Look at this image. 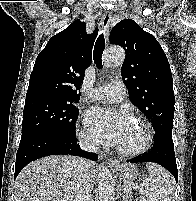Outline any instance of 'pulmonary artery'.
<instances>
[{
    "instance_id": "e3ab8cb5",
    "label": "pulmonary artery",
    "mask_w": 196,
    "mask_h": 201,
    "mask_svg": "<svg viewBox=\"0 0 196 201\" xmlns=\"http://www.w3.org/2000/svg\"><path fill=\"white\" fill-rule=\"evenodd\" d=\"M125 91L123 82L115 80L110 84L93 89L90 96L96 101L115 103L124 98Z\"/></svg>"
}]
</instances>
